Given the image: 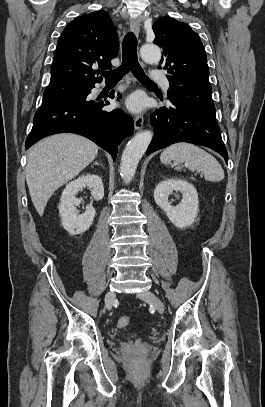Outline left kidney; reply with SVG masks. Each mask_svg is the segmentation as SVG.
Returning <instances> with one entry per match:
<instances>
[{
    "label": "left kidney",
    "mask_w": 265,
    "mask_h": 407,
    "mask_svg": "<svg viewBox=\"0 0 265 407\" xmlns=\"http://www.w3.org/2000/svg\"><path fill=\"white\" fill-rule=\"evenodd\" d=\"M173 191L182 194V200L177 206H172L168 200ZM154 199L177 228L184 229L195 222L199 211L198 193L186 180L172 178L160 182L154 191Z\"/></svg>",
    "instance_id": "obj_1"
}]
</instances>
